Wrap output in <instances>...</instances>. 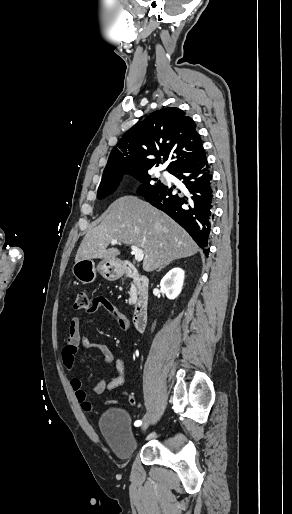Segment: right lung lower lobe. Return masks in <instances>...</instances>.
Wrapping results in <instances>:
<instances>
[{
  "mask_svg": "<svg viewBox=\"0 0 292 514\" xmlns=\"http://www.w3.org/2000/svg\"><path fill=\"white\" fill-rule=\"evenodd\" d=\"M171 174L182 180L180 187L163 184L144 197L179 223L207 256L210 222L214 216V194L206 155L177 168Z\"/></svg>",
  "mask_w": 292,
  "mask_h": 514,
  "instance_id": "right-lung-lower-lobe-1",
  "label": "right lung lower lobe"
}]
</instances>
